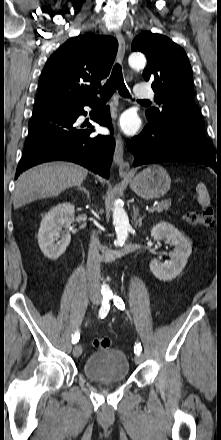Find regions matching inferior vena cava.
Returning <instances> with one entry per match:
<instances>
[{
  "mask_svg": "<svg viewBox=\"0 0 221 440\" xmlns=\"http://www.w3.org/2000/svg\"><path fill=\"white\" fill-rule=\"evenodd\" d=\"M101 248L99 239L95 232H93L90 240L88 259H87V281L90 292L99 296L100 285V254Z\"/></svg>",
  "mask_w": 221,
  "mask_h": 440,
  "instance_id": "obj_1",
  "label": "inferior vena cava"
}]
</instances>
